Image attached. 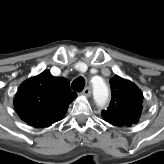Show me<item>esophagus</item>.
<instances>
[{
    "instance_id": "34e87169",
    "label": "esophagus",
    "mask_w": 164,
    "mask_h": 164,
    "mask_svg": "<svg viewBox=\"0 0 164 164\" xmlns=\"http://www.w3.org/2000/svg\"><path fill=\"white\" fill-rule=\"evenodd\" d=\"M82 94L86 97H90L91 94H92V89L91 87H86L83 91H82Z\"/></svg>"
}]
</instances>
